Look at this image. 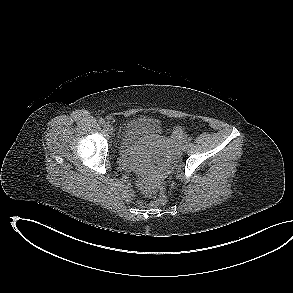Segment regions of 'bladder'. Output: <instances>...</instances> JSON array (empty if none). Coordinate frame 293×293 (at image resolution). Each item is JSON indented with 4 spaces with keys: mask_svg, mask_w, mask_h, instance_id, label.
Wrapping results in <instances>:
<instances>
[{
    "mask_svg": "<svg viewBox=\"0 0 293 293\" xmlns=\"http://www.w3.org/2000/svg\"><path fill=\"white\" fill-rule=\"evenodd\" d=\"M160 133L161 124L157 119L146 116L131 118L122 130L118 151L122 154L146 138L159 137Z\"/></svg>",
    "mask_w": 293,
    "mask_h": 293,
    "instance_id": "1",
    "label": "bladder"
}]
</instances>
